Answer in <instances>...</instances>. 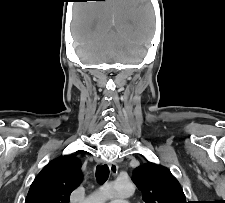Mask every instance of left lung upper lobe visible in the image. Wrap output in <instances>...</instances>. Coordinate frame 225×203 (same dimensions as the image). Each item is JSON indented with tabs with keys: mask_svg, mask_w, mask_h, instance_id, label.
Wrapping results in <instances>:
<instances>
[{
	"mask_svg": "<svg viewBox=\"0 0 225 203\" xmlns=\"http://www.w3.org/2000/svg\"><path fill=\"white\" fill-rule=\"evenodd\" d=\"M132 179L142 191L145 203H187L177 179L161 165L148 162L139 166Z\"/></svg>",
	"mask_w": 225,
	"mask_h": 203,
	"instance_id": "obj_1",
	"label": "left lung upper lobe"
}]
</instances>
